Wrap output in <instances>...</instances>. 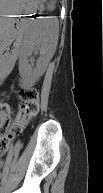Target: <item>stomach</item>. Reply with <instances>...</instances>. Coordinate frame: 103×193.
<instances>
[{"instance_id": "0dacf381", "label": "stomach", "mask_w": 103, "mask_h": 193, "mask_svg": "<svg viewBox=\"0 0 103 193\" xmlns=\"http://www.w3.org/2000/svg\"><path fill=\"white\" fill-rule=\"evenodd\" d=\"M39 0H0V14L3 21L22 13L36 11Z\"/></svg>"}]
</instances>
